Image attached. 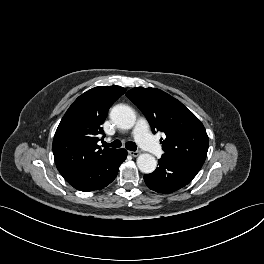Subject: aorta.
<instances>
[{"instance_id": "762f6f07", "label": "aorta", "mask_w": 264, "mask_h": 264, "mask_svg": "<svg viewBox=\"0 0 264 264\" xmlns=\"http://www.w3.org/2000/svg\"><path fill=\"white\" fill-rule=\"evenodd\" d=\"M111 120L121 129H131L136 121V115L133 109L125 104L114 106L110 112ZM137 166L143 173H152L157 166L154 156L150 154H141L137 158Z\"/></svg>"}]
</instances>
